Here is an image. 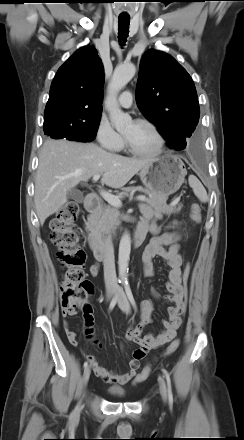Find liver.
Segmentation results:
<instances>
[{
    "label": "liver",
    "instance_id": "6515ba94",
    "mask_svg": "<svg viewBox=\"0 0 244 440\" xmlns=\"http://www.w3.org/2000/svg\"><path fill=\"white\" fill-rule=\"evenodd\" d=\"M153 158H127L94 143L47 140L41 148L35 179L34 202L40 224L66 202L67 193L80 182L102 175L111 188L123 187Z\"/></svg>",
    "mask_w": 244,
    "mask_h": 440
}]
</instances>
